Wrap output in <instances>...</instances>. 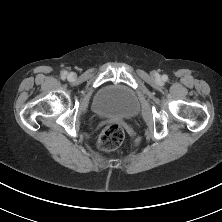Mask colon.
<instances>
[{
	"label": "colon",
	"mask_w": 222,
	"mask_h": 222,
	"mask_svg": "<svg viewBox=\"0 0 222 222\" xmlns=\"http://www.w3.org/2000/svg\"><path fill=\"white\" fill-rule=\"evenodd\" d=\"M125 138V131L119 123L108 124L101 133L98 146L102 150L112 151L118 148Z\"/></svg>",
	"instance_id": "5ec220e1"
}]
</instances>
